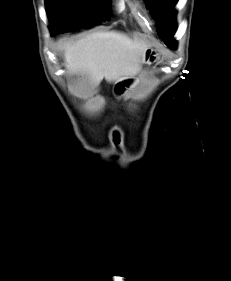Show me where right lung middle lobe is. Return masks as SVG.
Returning <instances> with one entry per match:
<instances>
[{"label": "right lung middle lobe", "mask_w": 231, "mask_h": 281, "mask_svg": "<svg viewBox=\"0 0 231 281\" xmlns=\"http://www.w3.org/2000/svg\"><path fill=\"white\" fill-rule=\"evenodd\" d=\"M51 33L74 31L109 19L110 0H45Z\"/></svg>", "instance_id": "dd1d6c3e"}]
</instances>
